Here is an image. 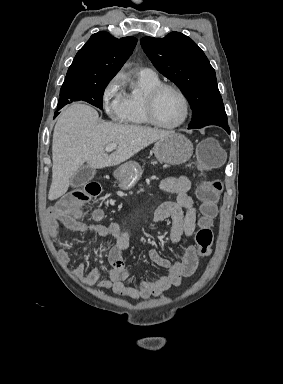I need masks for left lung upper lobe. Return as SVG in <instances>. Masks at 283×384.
<instances>
[{
  "instance_id": "left-lung-upper-lobe-1",
  "label": "left lung upper lobe",
  "mask_w": 283,
  "mask_h": 384,
  "mask_svg": "<svg viewBox=\"0 0 283 384\" xmlns=\"http://www.w3.org/2000/svg\"><path fill=\"white\" fill-rule=\"evenodd\" d=\"M141 45L155 68L186 96L193 111L189 129L227 124L215 70L192 39L171 32L160 39L144 37Z\"/></svg>"
}]
</instances>
